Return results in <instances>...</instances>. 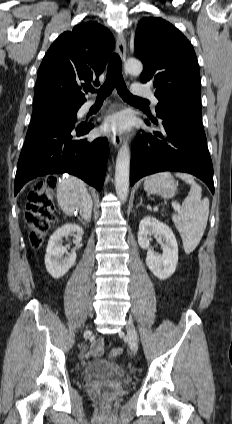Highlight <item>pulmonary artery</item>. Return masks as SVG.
Here are the masks:
<instances>
[{
	"label": "pulmonary artery",
	"instance_id": "obj_1",
	"mask_svg": "<svg viewBox=\"0 0 232 424\" xmlns=\"http://www.w3.org/2000/svg\"><path fill=\"white\" fill-rule=\"evenodd\" d=\"M131 90L134 95L149 97L154 105H157L159 102V100L153 95L151 90L143 84H133ZM93 105H95V101L89 100L84 104L83 108L87 110Z\"/></svg>",
	"mask_w": 232,
	"mask_h": 424
}]
</instances>
